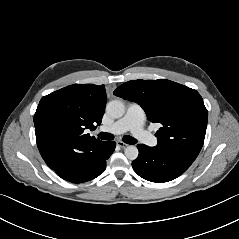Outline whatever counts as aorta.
I'll return each instance as SVG.
<instances>
[{"mask_svg":"<svg viewBox=\"0 0 239 239\" xmlns=\"http://www.w3.org/2000/svg\"><path fill=\"white\" fill-rule=\"evenodd\" d=\"M106 111L112 118H121L125 113V106L121 101L113 100L107 104ZM124 153L129 160H135L139 154L137 147L134 145L127 146Z\"/></svg>","mask_w":239,"mask_h":239,"instance_id":"aorta-1","label":"aorta"}]
</instances>
